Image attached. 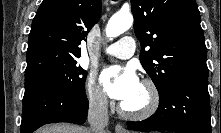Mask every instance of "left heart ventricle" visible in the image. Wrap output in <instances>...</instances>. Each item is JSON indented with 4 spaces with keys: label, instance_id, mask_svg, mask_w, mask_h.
Masks as SVG:
<instances>
[{
    "label": "left heart ventricle",
    "instance_id": "left-heart-ventricle-1",
    "mask_svg": "<svg viewBox=\"0 0 221 133\" xmlns=\"http://www.w3.org/2000/svg\"><path fill=\"white\" fill-rule=\"evenodd\" d=\"M147 99H148L147 91L141 85L136 95L128 102H125L124 106L131 110L140 109L147 103Z\"/></svg>",
    "mask_w": 221,
    "mask_h": 133
}]
</instances>
